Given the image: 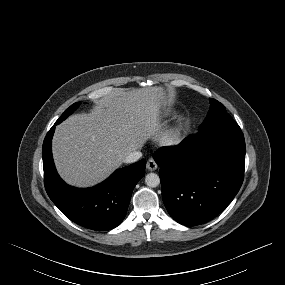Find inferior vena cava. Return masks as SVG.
Here are the masks:
<instances>
[{
  "label": "inferior vena cava",
  "mask_w": 285,
  "mask_h": 285,
  "mask_svg": "<svg viewBox=\"0 0 285 285\" xmlns=\"http://www.w3.org/2000/svg\"><path fill=\"white\" fill-rule=\"evenodd\" d=\"M141 156H142V153L139 151L131 152L126 156L124 162L125 163H134V162L138 161Z\"/></svg>",
  "instance_id": "obj_1"
}]
</instances>
